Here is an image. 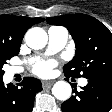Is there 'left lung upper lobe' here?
<instances>
[{
	"label": "left lung upper lobe",
	"mask_w": 112,
	"mask_h": 112,
	"mask_svg": "<svg viewBox=\"0 0 112 112\" xmlns=\"http://www.w3.org/2000/svg\"><path fill=\"white\" fill-rule=\"evenodd\" d=\"M52 25L65 26L76 45V55L64 66L71 77L112 78V33L97 19L85 14L47 17Z\"/></svg>",
	"instance_id": "left-lung-upper-lobe-1"
}]
</instances>
